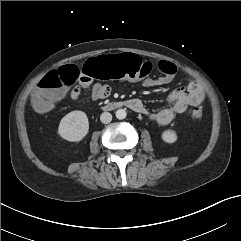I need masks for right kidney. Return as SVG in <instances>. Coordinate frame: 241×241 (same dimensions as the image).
Returning <instances> with one entry per match:
<instances>
[{"label":"right kidney","instance_id":"right-kidney-1","mask_svg":"<svg viewBox=\"0 0 241 241\" xmlns=\"http://www.w3.org/2000/svg\"><path fill=\"white\" fill-rule=\"evenodd\" d=\"M89 131L87 115L82 111H72L64 116L58 127L61 138L70 142L81 141Z\"/></svg>","mask_w":241,"mask_h":241}]
</instances>
